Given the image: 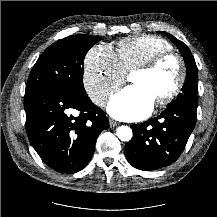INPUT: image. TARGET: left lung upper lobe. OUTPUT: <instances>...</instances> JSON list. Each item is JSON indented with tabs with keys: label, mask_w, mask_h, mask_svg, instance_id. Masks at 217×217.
Segmentation results:
<instances>
[{
	"label": "left lung upper lobe",
	"mask_w": 217,
	"mask_h": 217,
	"mask_svg": "<svg viewBox=\"0 0 217 217\" xmlns=\"http://www.w3.org/2000/svg\"><path fill=\"white\" fill-rule=\"evenodd\" d=\"M167 36L180 50L187 68V76L182 88V92L177 96L176 100L170 103L173 106L180 103H188L197 106L198 97V70L195 59L190 49L182 41L177 40L173 35L160 32Z\"/></svg>",
	"instance_id": "5c2ea615"
}]
</instances>
